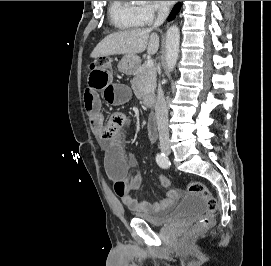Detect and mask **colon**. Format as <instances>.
I'll return each instance as SVG.
<instances>
[{"mask_svg":"<svg viewBox=\"0 0 271 266\" xmlns=\"http://www.w3.org/2000/svg\"><path fill=\"white\" fill-rule=\"evenodd\" d=\"M111 64L112 60L109 57H101L91 63V68L108 69L111 68ZM186 190L189 193H194L200 196L203 199L206 207V214L196 225L195 231H203L208 229L213 223V218L218 208L217 199L213 196L208 187L199 181L190 182L186 186Z\"/></svg>","mask_w":271,"mask_h":266,"instance_id":"obj_1","label":"colon"}]
</instances>
